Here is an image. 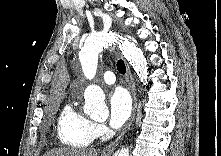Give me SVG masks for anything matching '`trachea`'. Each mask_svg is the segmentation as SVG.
Returning <instances> with one entry per match:
<instances>
[{"label": "trachea", "instance_id": "3493384b", "mask_svg": "<svg viewBox=\"0 0 221 156\" xmlns=\"http://www.w3.org/2000/svg\"><path fill=\"white\" fill-rule=\"evenodd\" d=\"M117 70H118L121 74H125V73H126L125 64H124L123 60H121V59L117 61Z\"/></svg>", "mask_w": 221, "mask_h": 156}]
</instances>
